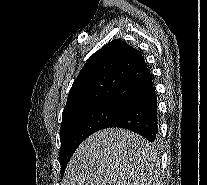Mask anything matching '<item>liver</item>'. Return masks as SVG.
Instances as JSON below:
<instances>
[{"instance_id": "6515ba94", "label": "liver", "mask_w": 207, "mask_h": 185, "mask_svg": "<svg viewBox=\"0 0 207 185\" xmlns=\"http://www.w3.org/2000/svg\"><path fill=\"white\" fill-rule=\"evenodd\" d=\"M146 139L127 129H102L87 137L73 157L62 185H147L157 173Z\"/></svg>"}]
</instances>
